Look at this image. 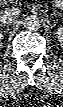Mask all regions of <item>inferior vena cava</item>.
Segmentation results:
<instances>
[{"label":"inferior vena cava","instance_id":"inferior-vena-cava-1","mask_svg":"<svg viewBox=\"0 0 63 107\" xmlns=\"http://www.w3.org/2000/svg\"><path fill=\"white\" fill-rule=\"evenodd\" d=\"M18 15V11L15 8H5L0 11V22L1 24L12 23Z\"/></svg>","mask_w":63,"mask_h":107}]
</instances>
